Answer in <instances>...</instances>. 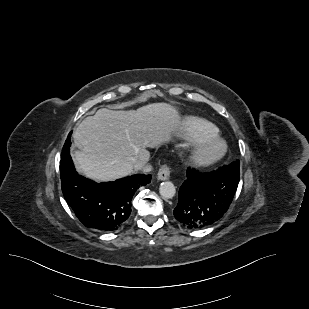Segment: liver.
Wrapping results in <instances>:
<instances>
[{
    "label": "liver",
    "instance_id": "1",
    "mask_svg": "<svg viewBox=\"0 0 309 309\" xmlns=\"http://www.w3.org/2000/svg\"><path fill=\"white\" fill-rule=\"evenodd\" d=\"M181 125L178 111L167 103H153L137 110L99 109L76 128L73 138L76 168L97 181L130 175L138 157L144 164L154 148L167 142ZM149 171V167L144 168Z\"/></svg>",
    "mask_w": 309,
    "mask_h": 309
}]
</instances>
